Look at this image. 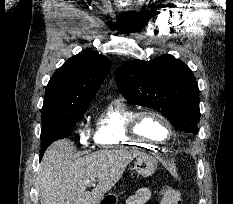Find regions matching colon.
Returning <instances> with one entry per match:
<instances>
[{"mask_svg":"<svg viewBox=\"0 0 233 204\" xmlns=\"http://www.w3.org/2000/svg\"><path fill=\"white\" fill-rule=\"evenodd\" d=\"M160 204H180L181 193L179 190L170 186H165L161 190Z\"/></svg>","mask_w":233,"mask_h":204,"instance_id":"colon-1","label":"colon"}]
</instances>
